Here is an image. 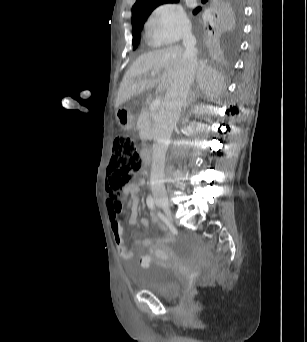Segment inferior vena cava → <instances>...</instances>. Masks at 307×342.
Returning <instances> with one entry per match:
<instances>
[{
	"label": "inferior vena cava",
	"instance_id": "obj_1",
	"mask_svg": "<svg viewBox=\"0 0 307 342\" xmlns=\"http://www.w3.org/2000/svg\"><path fill=\"white\" fill-rule=\"evenodd\" d=\"M183 46L185 50L182 60H180V68H178L173 84H171L165 94L155 130L150 184L152 192H160V194H165L166 192L164 184V164L170 136L174 128H176L181 108L189 96V90L193 84L197 70L195 36L185 34Z\"/></svg>",
	"mask_w": 307,
	"mask_h": 342
}]
</instances>
